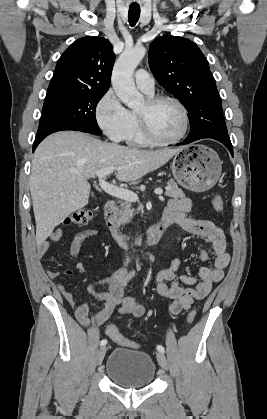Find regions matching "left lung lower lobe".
<instances>
[{
  "mask_svg": "<svg viewBox=\"0 0 267 419\" xmlns=\"http://www.w3.org/2000/svg\"><path fill=\"white\" fill-rule=\"evenodd\" d=\"M203 138H212V139H215V140L221 142L222 144H224L228 148V150L230 151V153L233 156V147H232L230 138L228 136V133L224 132L220 135L213 134L212 128L210 127V124H209L208 120H206V121L201 120V121H197L194 124H192L190 126V132H189L188 137L181 144H189L193 141L203 139Z\"/></svg>",
  "mask_w": 267,
  "mask_h": 419,
  "instance_id": "left-lung-lower-lobe-1",
  "label": "left lung lower lobe"
}]
</instances>
